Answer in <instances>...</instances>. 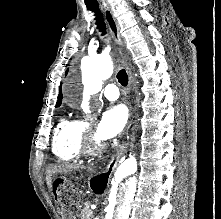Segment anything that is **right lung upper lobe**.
Returning <instances> with one entry per match:
<instances>
[{"label":"right lung upper lobe","mask_w":221,"mask_h":219,"mask_svg":"<svg viewBox=\"0 0 221 219\" xmlns=\"http://www.w3.org/2000/svg\"><path fill=\"white\" fill-rule=\"evenodd\" d=\"M66 73H67V72H66ZM61 100H62V94L60 93L59 96H58V101H57L56 106H60Z\"/></svg>","instance_id":"1"}]
</instances>
